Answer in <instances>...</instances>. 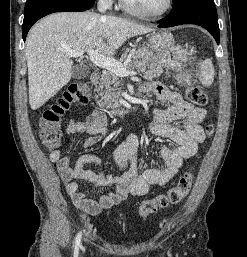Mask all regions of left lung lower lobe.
Masks as SVG:
<instances>
[{"label":"left lung lower lobe","mask_w":247,"mask_h":257,"mask_svg":"<svg viewBox=\"0 0 247 257\" xmlns=\"http://www.w3.org/2000/svg\"><path fill=\"white\" fill-rule=\"evenodd\" d=\"M181 24H196L204 27L220 42L217 11L214 0H184L173 6L158 27L166 28Z\"/></svg>","instance_id":"1"}]
</instances>
